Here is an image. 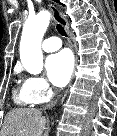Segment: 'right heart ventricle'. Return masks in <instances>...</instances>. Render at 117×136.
Returning <instances> with one entry per match:
<instances>
[{
    "label": "right heart ventricle",
    "instance_id": "obj_1",
    "mask_svg": "<svg viewBox=\"0 0 117 136\" xmlns=\"http://www.w3.org/2000/svg\"><path fill=\"white\" fill-rule=\"evenodd\" d=\"M14 100L18 105H21V106H29V105L33 104L24 85H22L21 87H19L15 90Z\"/></svg>",
    "mask_w": 117,
    "mask_h": 136
}]
</instances>
